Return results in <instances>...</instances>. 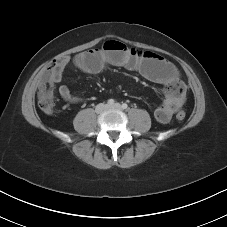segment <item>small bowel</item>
Returning a JSON list of instances; mask_svg holds the SVG:
<instances>
[{
	"mask_svg": "<svg viewBox=\"0 0 227 227\" xmlns=\"http://www.w3.org/2000/svg\"><path fill=\"white\" fill-rule=\"evenodd\" d=\"M60 60L47 76L53 83L61 81L63 72L70 63L69 57ZM73 65L88 74L100 73L108 65L123 67L138 71L147 80L163 85L165 98L154 111V117L159 123H168L174 111L184 104L185 88L178 70L171 62L156 53L129 48L119 41L110 40L100 48L78 54L73 59ZM58 92L67 102L83 101L82 97L73 95L66 85L59 86Z\"/></svg>",
	"mask_w": 227,
	"mask_h": 227,
	"instance_id": "obj_1",
	"label": "small bowel"
}]
</instances>
